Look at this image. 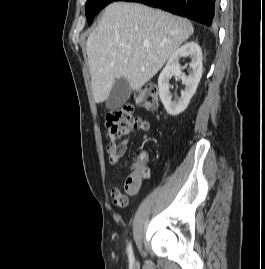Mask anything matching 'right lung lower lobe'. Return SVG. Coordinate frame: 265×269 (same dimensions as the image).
<instances>
[{
  "label": "right lung lower lobe",
  "instance_id": "98d812e1",
  "mask_svg": "<svg viewBox=\"0 0 265 269\" xmlns=\"http://www.w3.org/2000/svg\"><path fill=\"white\" fill-rule=\"evenodd\" d=\"M138 2L187 17L207 26L212 25L217 12V0H115Z\"/></svg>",
  "mask_w": 265,
  "mask_h": 269
}]
</instances>
